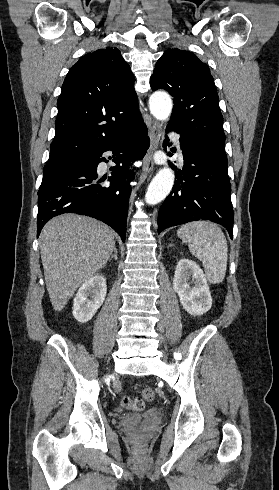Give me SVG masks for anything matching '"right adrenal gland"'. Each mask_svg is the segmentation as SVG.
Instances as JSON below:
<instances>
[{
	"label": "right adrenal gland",
	"mask_w": 279,
	"mask_h": 490,
	"mask_svg": "<svg viewBox=\"0 0 279 490\" xmlns=\"http://www.w3.org/2000/svg\"><path fill=\"white\" fill-rule=\"evenodd\" d=\"M117 254H118L117 248H114V254H112V256H110L108 262H111L112 258H114V260H118Z\"/></svg>",
	"instance_id": "obj_1"
}]
</instances>
